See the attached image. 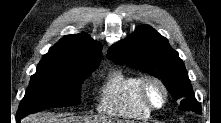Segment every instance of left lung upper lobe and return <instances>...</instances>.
Returning a JSON list of instances; mask_svg holds the SVG:
<instances>
[{
    "instance_id": "obj_1",
    "label": "left lung upper lobe",
    "mask_w": 221,
    "mask_h": 123,
    "mask_svg": "<svg viewBox=\"0 0 221 123\" xmlns=\"http://www.w3.org/2000/svg\"><path fill=\"white\" fill-rule=\"evenodd\" d=\"M107 57L161 79L175 100L182 99L180 110L201 112L178 52L152 27L139 26L132 35L112 45Z\"/></svg>"
}]
</instances>
